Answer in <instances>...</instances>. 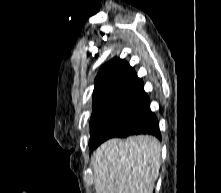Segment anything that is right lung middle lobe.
<instances>
[{"instance_id":"right-lung-middle-lobe-1","label":"right lung middle lobe","mask_w":221,"mask_h":193,"mask_svg":"<svg viewBox=\"0 0 221 193\" xmlns=\"http://www.w3.org/2000/svg\"><path fill=\"white\" fill-rule=\"evenodd\" d=\"M147 101H123L111 104L91 115V150L104 141L119 137L145 121L151 114Z\"/></svg>"}]
</instances>
